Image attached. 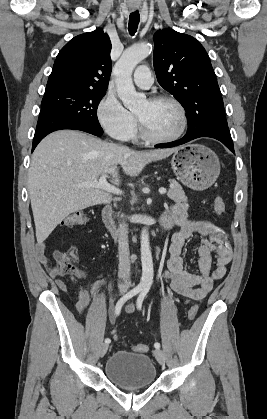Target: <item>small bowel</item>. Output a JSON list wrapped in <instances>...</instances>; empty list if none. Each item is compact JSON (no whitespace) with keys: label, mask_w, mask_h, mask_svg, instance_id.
<instances>
[{"label":"small bowel","mask_w":267,"mask_h":419,"mask_svg":"<svg viewBox=\"0 0 267 419\" xmlns=\"http://www.w3.org/2000/svg\"><path fill=\"white\" fill-rule=\"evenodd\" d=\"M164 216L170 219L172 224L180 227L171 240L170 258L164 277L170 282L173 292L181 295L186 301L201 300L212 290L214 282L225 276L227 265L232 258L230 244L224 231L212 221L190 219L186 203L174 204ZM195 235L200 237L199 242L193 247L198 257V271L189 272L184 269V259L181 253L186 241ZM212 253H214V268H212ZM35 254L37 260L47 268L49 275L56 280L58 288L66 292L67 281L50 263L45 245L38 244ZM69 254L77 257V246L71 247ZM84 276V273L79 271L69 277V280L78 288L76 309L81 316L86 314L91 299L101 298L103 296L101 288L111 282L109 278H101L85 286L80 282ZM128 310L132 309L129 307Z\"/></svg>","instance_id":"c3829d8e"}]
</instances>
